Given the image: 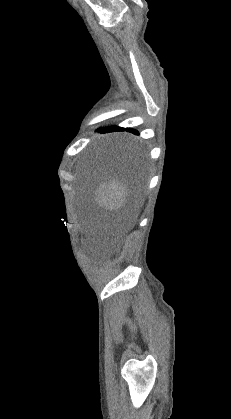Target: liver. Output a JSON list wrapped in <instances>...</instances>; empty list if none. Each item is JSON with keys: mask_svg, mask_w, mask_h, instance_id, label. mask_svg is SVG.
Returning <instances> with one entry per match:
<instances>
[{"mask_svg": "<svg viewBox=\"0 0 231 419\" xmlns=\"http://www.w3.org/2000/svg\"><path fill=\"white\" fill-rule=\"evenodd\" d=\"M128 196L129 189L127 188V185L118 178H113L99 184L95 190V200L97 204L110 210L121 209Z\"/></svg>", "mask_w": 231, "mask_h": 419, "instance_id": "obj_1", "label": "liver"}]
</instances>
